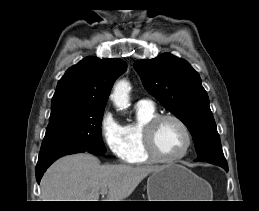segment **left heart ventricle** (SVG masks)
I'll use <instances>...</instances> for the list:
<instances>
[{"label": "left heart ventricle", "instance_id": "obj_1", "mask_svg": "<svg viewBox=\"0 0 259 211\" xmlns=\"http://www.w3.org/2000/svg\"><path fill=\"white\" fill-rule=\"evenodd\" d=\"M155 144L162 156L174 157L184 149L186 138L176 122L165 120L156 129Z\"/></svg>", "mask_w": 259, "mask_h": 211}]
</instances>
